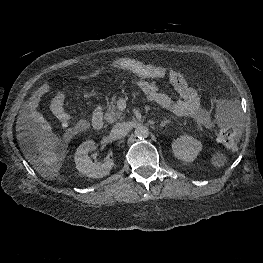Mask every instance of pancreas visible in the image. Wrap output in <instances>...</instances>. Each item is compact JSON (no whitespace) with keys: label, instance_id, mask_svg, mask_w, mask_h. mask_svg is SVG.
<instances>
[{"label":"pancreas","instance_id":"pancreas-1","mask_svg":"<svg viewBox=\"0 0 263 263\" xmlns=\"http://www.w3.org/2000/svg\"><path fill=\"white\" fill-rule=\"evenodd\" d=\"M121 116H122V113L119 110H117L116 97L114 96L110 104L107 106V111L105 113L104 119L107 122L112 123L118 119H121Z\"/></svg>","mask_w":263,"mask_h":263}]
</instances>
